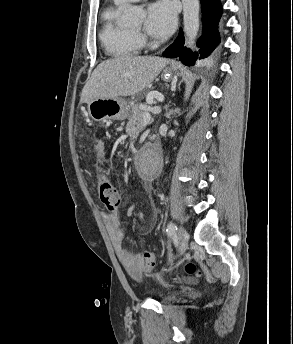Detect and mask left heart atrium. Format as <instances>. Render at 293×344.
<instances>
[{"instance_id":"1","label":"left heart atrium","mask_w":293,"mask_h":344,"mask_svg":"<svg viewBox=\"0 0 293 344\" xmlns=\"http://www.w3.org/2000/svg\"><path fill=\"white\" fill-rule=\"evenodd\" d=\"M176 26V12L167 0H161L149 5L145 20L146 32L155 38L169 37Z\"/></svg>"}]
</instances>
